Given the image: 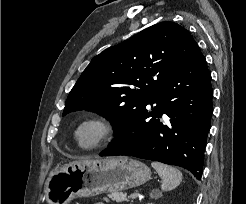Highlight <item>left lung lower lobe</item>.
<instances>
[{
	"mask_svg": "<svg viewBox=\"0 0 246 204\" xmlns=\"http://www.w3.org/2000/svg\"><path fill=\"white\" fill-rule=\"evenodd\" d=\"M212 96L211 74L197 46L99 155L134 156L177 165L201 179Z\"/></svg>",
	"mask_w": 246,
	"mask_h": 204,
	"instance_id": "0a47b994",
	"label": "left lung lower lobe"
}]
</instances>
